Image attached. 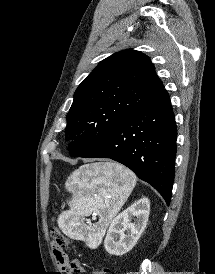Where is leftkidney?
<instances>
[{
  "mask_svg": "<svg viewBox=\"0 0 215 274\" xmlns=\"http://www.w3.org/2000/svg\"><path fill=\"white\" fill-rule=\"evenodd\" d=\"M149 211L150 202L144 197L117 215L111 222L104 240L106 251L116 256L129 252L146 228Z\"/></svg>",
  "mask_w": 215,
  "mask_h": 274,
  "instance_id": "obj_1",
  "label": "left kidney"
}]
</instances>
